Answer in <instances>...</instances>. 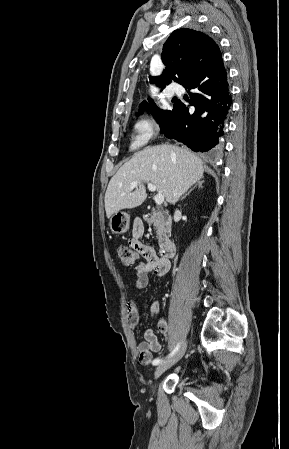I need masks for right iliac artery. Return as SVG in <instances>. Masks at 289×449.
<instances>
[{"mask_svg": "<svg viewBox=\"0 0 289 449\" xmlns=\"http://www.w3.org/2000/svg\"><path fill=\"white\" fill-rule=\"evenodd\" d=\"M179 347H180V344H178L175 348H174V350L166 357V358H169V357H171V356H173L177 351H178V349H179ZM163 361V359H155L154 361H153V365H158V364H160L161 362Z\"/></svg>", "mask_w": 289, "mask_h": 449, "instance_id": "1", "label": "right iliac artery"}]
</instances>
